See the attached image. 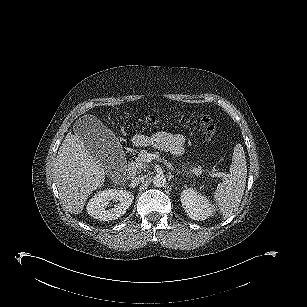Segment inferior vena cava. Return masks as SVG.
Masks as SVG:
<instances>
[{
	"label": "inferior vena cava",
	"instance_id": "inferior-vena-cava-1",
	"mask_svg": "<svg viewBox=\"0 0 307 307\" xmlns=\"http://www.w3.org/2000/svg\"><path fill=\"white\" fill-rule=\"evenodd\" d=\"M143 181H144V177L140 176V175L138 177H135V178L132 179V183L135 184V185H138Z\"/></svg>",
	"mask_w": 307,
	"mask_h": 307
}]
</instances>
